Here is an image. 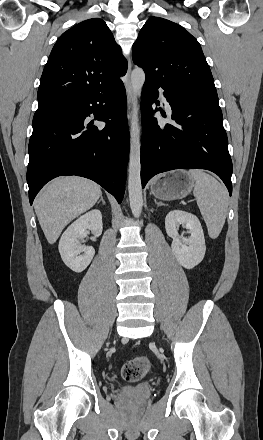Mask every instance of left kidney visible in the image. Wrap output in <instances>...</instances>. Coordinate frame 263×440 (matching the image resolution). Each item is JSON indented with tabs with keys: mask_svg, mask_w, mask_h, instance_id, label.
<instances>
[{
	"mask_svg": "<svg viewBox=\"0 0 263 440\" xmlns=\"http://www.w3.org/2000/svg\"><path fill=\"white\" fill-rule=\"evenodd\" d=\"M183 225L190 236L178 234V227ZM166 233L173 241L172 252L177 261L186 269L197 266L204 258L206 246L203 229L199 219L192 213L182 210L170 211L165 218Z\"/></svg>",
	"mask_w": 263,
	"mask_h": 440,
	"instance_id": "obj_1",
	"label": "left kidney"
}]
</instances>
